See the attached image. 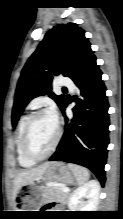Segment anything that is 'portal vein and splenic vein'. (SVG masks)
<instances>
[{"instance_id":"obj_1","label":"portal vein and splenic vein","mask_w":123,"mask_h":219,"mask_svg":"<svg viewBox=\"0 0 123 219\" xmlns=\"http://www.w3.org/2000/svg\"><path fill=\"white\" fill-rule=\"evenodd\" d=\"M62 190L66 193L70 191V189L68 187H62Z\"/></svg>"}]
</instances>
